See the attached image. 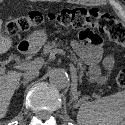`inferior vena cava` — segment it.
<instances>
[{
	"label": "inferior vena cava",
	"mask_w": 125,
	"mask_h": 125,
	"mask_svg": "<svg viewBox=\"0 0 125 125\" xmlns=\"http://www.w3.org/2000/svg\"><path fill=\"white\" fill-rule=\"evenodd\" d=\"M22 75H23L24 79L32 80V79L39 76V71L37 69L29 70V71H27L26 73H24Z\"/></svg>",
	"instance_id": "602c4592"
}]
</instances>
